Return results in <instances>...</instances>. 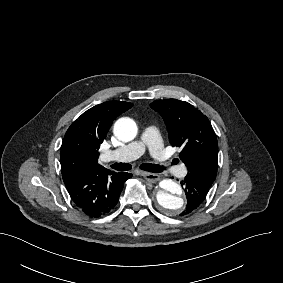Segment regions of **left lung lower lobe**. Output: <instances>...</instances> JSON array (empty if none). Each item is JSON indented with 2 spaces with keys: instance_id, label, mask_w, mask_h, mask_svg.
Listing matches in <instances>:
<instances>
[{
  "instance_id": "0a47b994",
  "label": "left lung lower lobe",
  "mask_w": 283,
  "mask_h": 283,
  "mask_svg": "<svg viewBox=\"0 0 283 283\" xmlns=\"http://www.w3.org/2000/svg\"><path fill=\"white\" fill-rule=\"evenodd\" d=\"M215 178L216 174L208 171L194 170L188 172L184 181L181 182L182 186H185L187 196V206L180 214L181 216L192 213L203 203Z\"/></svg>"
}]
</instances>
